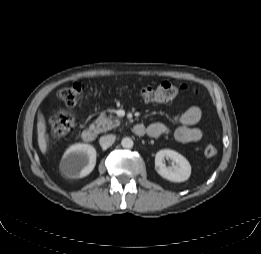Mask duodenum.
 <instances>
[{
  "instance_id": "410a0bca",
  "label": "duodenum",
  "mask_w": 261,
  "mask_h": 254,
  "mask_svg": "<svg viewBox=\"0 0 261 254\" xmlns=\"http://www.w3.org/2000/svg\"><path fill=\"white\" fill-rule=\"evenodd\" d=\"M134 129H135L134 132H135L136 134H138V135H141V134H142V131H143L142 127L136 125V126L134 127ZM81 136H82V139H83L84 141H86V142H92V141H94L95 138H96V133H95L94 129H92V128H85V129L82 131Z\"/></svg>"
}]
</instances>
